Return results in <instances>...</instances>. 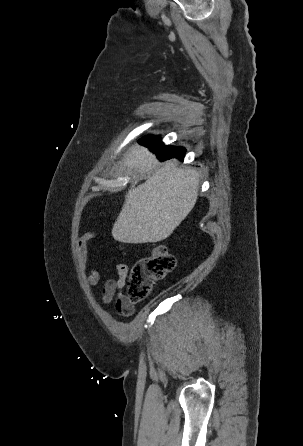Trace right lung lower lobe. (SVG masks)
<instances>
[{
  "instance_id": "obj_1",
  "label": "right lung lower lobe",
  "mask_w": 303,
  "mask_h": 446,
  "mask_svg": "<svg viewBox=\"0 0 303 446\" xmlns=\"http://www.w3.org/2000/svg\"><path fill=\"white\" fill-rule=\"evenodd\" d=\"M139 143L149 147L154 153H157V157L160 161H165L171 158L183 160L186 152L185 148L182 147L164 145L159 136H145L139 140Z\"/></svg>"
}]
</instances>
